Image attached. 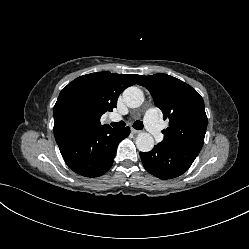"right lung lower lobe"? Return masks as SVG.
<instances>
[{"mask_svg":"<svg viewBox=\"0 0 249 249\" xmlns=\"http://www.w3.org/2000/svg\"><path fill=\"white\" fill-rule=\"evenodd\" d=\"M130 128H105L98 131L61 129L54 132L66 164L85 177H98L107 172L114 161L118 144Z\"/></svg>","mask_w":249,"mask_h":249,"instance_id":"right-lung-lower-lobe-1","label":"right lung lower lobe"}]
</instances>
